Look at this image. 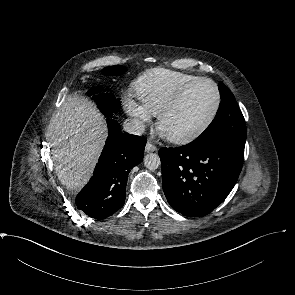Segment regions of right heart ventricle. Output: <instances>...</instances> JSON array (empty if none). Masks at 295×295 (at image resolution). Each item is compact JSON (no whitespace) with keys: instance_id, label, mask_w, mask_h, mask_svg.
<instances>
[{"instance_id":"obj_1","label":"right heart ventricle","mask_w":295,"mask_h":295,"mask_svg":"<svg viewBox=\"0 0 295 295\" xmlns=\"http://www.w3.org/2000/svg\"><path fill=\"white\" fill-rule=\"evenodd\" d=\"M196 78L195 75L156 68L137 79L136 92L148 110L153 115H158L182 87Z\"/></svg>"}]
</instances>
